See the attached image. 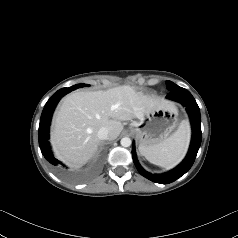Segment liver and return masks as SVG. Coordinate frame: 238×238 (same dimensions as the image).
<instances>
[{
    "mask_svg": "<svg viewBox=\"0 0 238 238\" xmlns=\"http://www.w3.org/2000/svg\"><path fill=\"white\" fill-rule=\"evenodd\" d=\"M168 105L127 85L71 93L63 99L54 118L53 151L68 166L79 168L97 153L100 128L106 127L108 139L114 140L123 130L121 121L142 118L149 111Z\"/></svg>",
    "mask_w": 238,
    "mask_h": 238,
    "instance_id": "1",
    "label": "liver"
}]
</instances>
